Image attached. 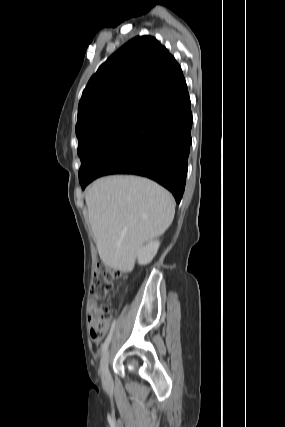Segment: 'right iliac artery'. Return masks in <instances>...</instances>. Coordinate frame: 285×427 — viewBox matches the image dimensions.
<instances>
[{
  "label": "right iliac artery",
  "mask_w": 285,
  "mask_h": 427,
  "mask_svg": "<svg viewBox=\"0 0 285 427\" xmlns=\"http://www.w3.org/2000/svg\"><path fill=\"white\" fill-rule=\"evenodd\" d=\"M114 328H115V326H114V324H113V325H112V327H111V329H110V332H109V334H108V336H107V338H106V340H105V342H104V343H103V345H102L101 353H104V352L106 351V349H107V347H108V345H109V343H110V341H111V338H112V335H113Z\"/></svg>",
  "instance_id": "1"
}]
</instances>
